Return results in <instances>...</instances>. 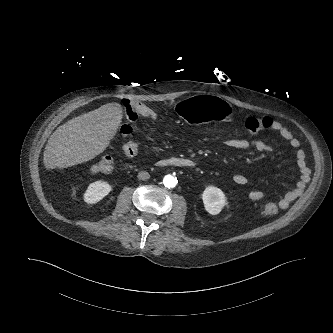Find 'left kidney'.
<instances>
[{"label":"left kidney","instance_id":"obj_1","mask_svg":"<svg viewBox=\"0 0 333 333\" xmlns=\"http://www.w3.org/2000/svg\"><path fill=\"white\" fill-rule=\"evenodd\" d=\"M205 210L211 215H217L226 205V198L221 189L208 186L202 194Z\"/></svg>","mask_w":333,"mask_h":333}]
</instances>
